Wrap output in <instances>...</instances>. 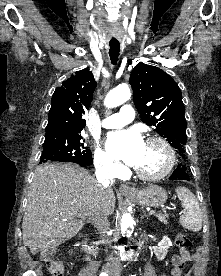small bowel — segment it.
<instances>
[{"mask_svg":"<svg viewBox=\"0 0 221 276\" xmlns=\"http://www.w3.org/2000/svg\"><path fill=\"white\" fill-rule=\"evenodd\" d=\"M191 261V255L188 251L180 250L178 254L172 257L173 269L171 270L172 276H182L183 267L186 262Z\"/></svg>","mask_w":221,"mask_h":276,"instance_id":"c3829d8e","label":"small bowel"}]
</instances>
